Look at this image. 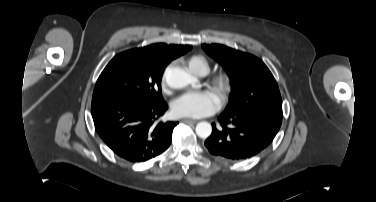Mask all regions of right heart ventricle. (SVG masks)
Segmentation results:
<instances>
[{
    "label": "right heart ventricle",
    "instance_id": "right-heart-ventricle-1",
    "mask_svg": "<svg viewBox=\"0 0 376 202\" xmlns=\"http://www.w3.org/2000/svg\"><path fill=\"white\" fill-rule=\"evenodd\" d=\"M189 69L197 75L208 73L210 66L208 60L203 55H193L187 60Z\"/></svg>",
    "mask_w": 376,
    "mask_h": 202
}]
</instances>
